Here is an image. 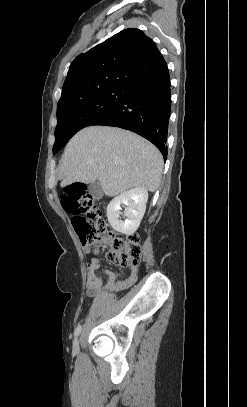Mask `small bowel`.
<instances>
[{
    "label": "small bowel",
    "mask_w": 247,
    "mask_h": 407,
    "mask_svg": "<svg viewBox=\"0 0 247 407\" xmlns=\"http://www.w3.org/2000/svg\"><path fill=\"white\" fill-rule=\"evenodd\" d=\"M100 267V261L97 257H93L88 264V281L87 292L91 297L99 295L104 289L109 290H124L132 286L138 278V268L136 266L130 267L129 275L126 279L116 281V275L110 270H105L108 276V283L103 286L100 278L97 275V270Z\"/></svg>",
    "instance_id": "c3829d8e"
}]
</instances>
